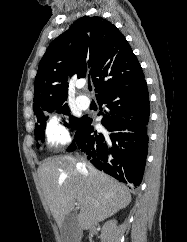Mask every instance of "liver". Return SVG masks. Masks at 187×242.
Here are the masks:
<instances>
[{
	"label": "liver",
	"mask_w": 187,
	"mask_h": 242,
	"mask_svg": "<svg viewBox=\"0 0 187 242\" xmlns=\"http://www.w3.org/2000/svg\"><path fill=\"white\" fill-rule=\"evenodd\" d=\"M72 156L46 159L38 168L43 196L58 226L78 202L76 215L82 229H91L97 222L114 215L131 202L128 188L112 177L83 161L85 175Z\"/></svg>",
	"instance_id": "liver-1"
}]
</instances>
